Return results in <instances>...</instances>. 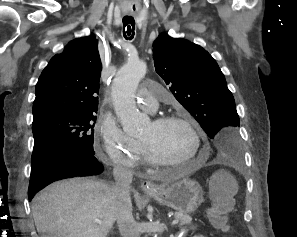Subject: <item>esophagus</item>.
I'll return each mask as SVG.
<instances>
[{
  "label": "esophagus",
  "instance_id": "obj_1",
  "mask_svg": "<svg viewBox=\"0 0 297 237\" xmlns=\"http://www.w3.org/2000/svg\"><path fill=\"white\" fill-rule=\"evenodd\" d=\"M141 189L143 191H156L157 187L152 181L145 180L141 183Z\"/></svg>",
  "mask_w": 297,
  "mask_h": 237
}]
</instances>
